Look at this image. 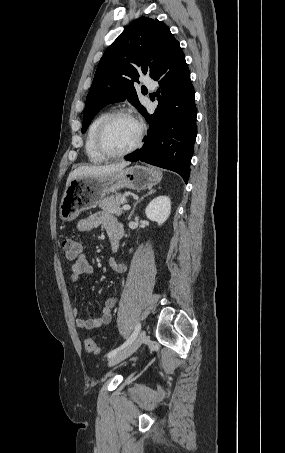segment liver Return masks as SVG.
Segmentation results:
<instances>
[{
	"label": "liver",
	"instance_id": "liver-1",
	"mask_svg": "<svg viewBox=\"0 0 285 453\" xmlns=\"http://www.w3.org/2000/svg\"><path fill=\"white\" fill-rule=\"evenodd\" d=\"M129 162H121L118 164H111L105 166H80L74 169L68 176L66 186L75 178L83 177V176H99L104 174H110L113 172H117L126 166H128Z\"/></svg>",
	"mask_w": 285,
	"mask_h": 453
}]
</instances>
